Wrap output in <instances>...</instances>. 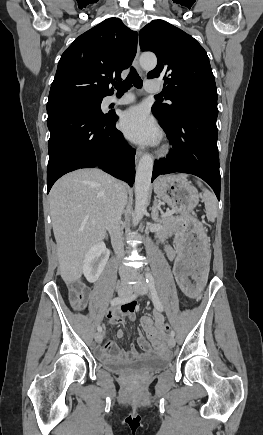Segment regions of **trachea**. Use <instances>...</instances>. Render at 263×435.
Wrapping results in <instances>:
<instances>
[{
    "mask_svg": "<svg viewBox=\"0 0 263 435\" xmlns=\"http://www.w3.org/2000/svg\"><path fill=\"white\" fill-rule=\"evenodd\" d=\"M132 85H134L138 89L142 88L143 85L141 77L133 67L131 68L129 75L123 82L113 84L118 94H123L127 92Z\"/></svg>",
    "mask_w": 263,
    "mask_h": 435,
    "instance_id": "trachea-1",
    "label": "trachea"
}]
</instances>
